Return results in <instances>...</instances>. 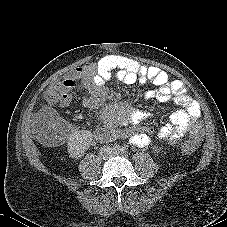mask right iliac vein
<instances>
[{"mask_svg": "<svg viewBox=\"0 0 227 227\" xmlns=\"http://www.w3.org/2000/svg\"><path fill=\"white\" fill-rule=\"evenodd\" d=\"M108 153H109V150H102L101 151V153H100V156L102 157V158H106L107 157V155H108Z\"/></svg>", "mask_w": 227, "mask_h": 227, "instance_id": "right-iliac-vein-1", "label": "right iliac vein"}]
</instances>
